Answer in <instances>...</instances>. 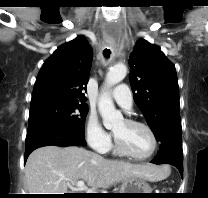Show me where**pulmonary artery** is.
<instances>
[{"instance_id":"e3ab8cb5","label":"pulmonary artery","mask_w":208,"mask_h":198,"mask_svg":"<svg viewBox=\"0 0 208 198\" xmlns=\"http://www.w3.org/2000/svg\"><path fill=\"white\" fill-rule=\"evenodd\" d=\"M110 95L119 106H121L127 112L131 111L133 105V97L127 85H118L111 91Z\"/></svg>"}]
</instances>
